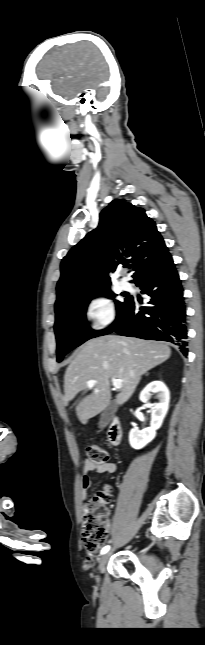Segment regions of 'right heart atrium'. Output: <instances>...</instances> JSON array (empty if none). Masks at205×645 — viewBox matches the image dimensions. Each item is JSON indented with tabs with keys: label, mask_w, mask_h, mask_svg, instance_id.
<instances>
[{
	"label": "right heart atrium",
	"mask_w": 205,
	"mask_h": 645,
	"mask_svg": "<svg viewBox=\"0 0 205 645\" xmlns=\"http://www.w3.org/2000/svg\"><path fill=\"white\" fill-rule=\"evenodd\" d=\"M116 315L113 301L103 294L92 295L84 306V316L96 332L109 328L116 320Z\"/></svg>",
	"instance_id": "d8ad5b80"
}]
</instances>
